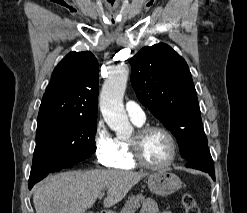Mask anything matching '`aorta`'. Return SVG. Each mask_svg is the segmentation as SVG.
I'll list each match as a JSON object with an SVG mask.
<instances>
[{"label": "aorta", "mask_w": 247, "mask_h": 213, "mask_svg": "<svg viewBox=\"0 0 247 213\" xmlns=\"http://www.w3.org/2000/svg\"><path fill=\"white\" fill-rule=\"evenodd\" d=\"M128 76V67L119 65L109 74L100 93V110L103 118L120 137L132 133V126L123 105Z\"/></svg>", "instance_id": "762f6f07"}]
</instances>
